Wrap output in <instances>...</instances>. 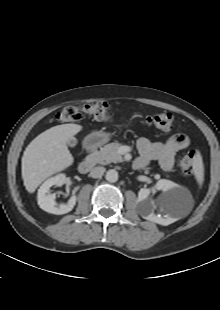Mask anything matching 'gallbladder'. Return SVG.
<instances>
[{
    "label": "gallbladder",
    "mask_w": 220,
    "mask_h": 310,
    "mask_svg": "<svg viewBox=\"0 0 220 310\" xmlns=\"http://www.w3.org/2000/svg\"><path fill=\"white\" fill-rule=\"evenodd\" d=\"M68 146L75 147L77 145V139L75 137H71L67 141Z\"/></svg>",
    "instance_id": "bac80fb5"
}]
</instances>
